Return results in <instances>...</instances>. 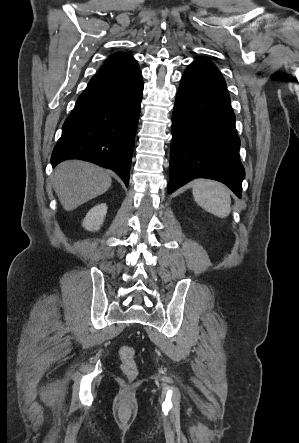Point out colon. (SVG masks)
Masks as SVG:
<instances>
[{"label":"colon","mask_w":299,"mask_h":443,"mask_svg":"<svg viewBox=\"0 0 299 443\" xmlns=\"http://www.w3.org/2000/svg\"><path fill=\"white\" fill-rule=\"evenodd\" d=\"M134 355V349L129 346H123L119 350L121 370L129 379H134L138 374Z\"/></svg>","instance_id":"colon-1"}]
</instances>
